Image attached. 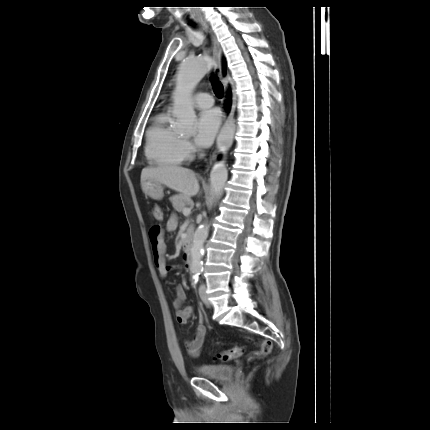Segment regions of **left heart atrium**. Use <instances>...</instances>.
<instances>
[{
    "label": "left heart atrium",
    "mask_w": 430,
    "mask_h": 430,
    "mask_svg": "<svg viewBox=\"0 0 430 430\" xmlns=\"http://www.w3.org/2000/svg\"><path fill=\"white\" fill-rule=\"evenodd\" d=\"M220 125V114L216 109L200 113L196 121L195 141L201 147L211 145Z\"/></svg>",
    "instance_id": "left-heart-atrium-1"
}]
</instances>
